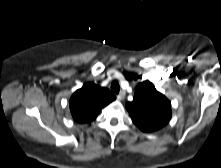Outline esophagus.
I'll use <instances>...</instances> for the list:
<instances>
[{
	"mask_svg": "<svg viewBox=\"0 0 221 168\" xmlns=\"http://www.w3.org/2000/svg\"><path fill=\"white\" fill-rule=\"evenodd\" d=\"M125 96H126V92L122 90V91L118 94L117 98H118L119 100H124Z\"/></svg>",
	"mask_w": 221,
	"mask_h": 168,
	"instance_id": "34e87169",
	"label": "esophagus"
}]
</instances>
